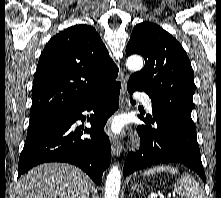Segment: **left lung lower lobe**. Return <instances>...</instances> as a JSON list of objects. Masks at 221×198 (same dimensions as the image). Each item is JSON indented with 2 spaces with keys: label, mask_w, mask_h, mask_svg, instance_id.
Here are the masks:
<instances>
[{
  "label": "left lung lower lobe",
  "mask_w": 221,
  "mask_h": 198,
  "mask_svg": "<svg viewBox=\"0 0 221 198\" xmlns=\"http://www.w3.org/2000/svg\"><path fill=\"white\" fill-rule=\"evenodd\" d=\"M129 93L138 90L127 84ZM131 103H135L132 99ZM147 125L137 128L140 149L127 155L123 175L162 163H179L195 171L205 183V172L200 157L196 128L183 125L161 113L153 118L139 116Z\"/></svg>",
  "instance_id": "1"
}]
</instances>
